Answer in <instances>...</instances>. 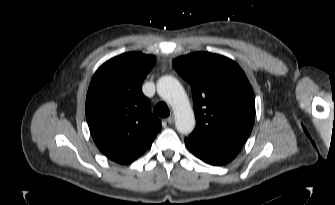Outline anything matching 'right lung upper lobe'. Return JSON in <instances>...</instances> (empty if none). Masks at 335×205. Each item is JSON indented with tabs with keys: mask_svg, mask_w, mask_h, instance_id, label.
Wrapping results in <instances>:
<instances>
[{
	"mask_svg": "<svg viewBox=\"0 0 335 205\" xmlns=\"http://www.w3.org/2000/svg\"><path fill=\"white\" fill-rule=\"evenodd\" d=\"M156 57L129 52L105 62L94 74L86 98L91 135L111 160L127 164L143 154L161 129L142 83Z\"/></svg>",
	"mask_w": 335,
	"mask_h": 205,
	"instance_id": "cb5924a9",
	"label": "right lung upper lobe"
}]
</instances>
